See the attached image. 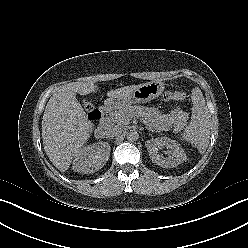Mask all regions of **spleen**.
I'll return each mask as SVG.
<instances>
[{"instance_id": "3e777b00", "label": "spleen", "mask_w": 248, "mask_h": 248, "mask_svg": "<svg viewBox=\"0 0 248 248\" xmlns=\"http://www.w3.org/2000/svg\"><path fill=\"white\" fill-rule=\"evenodd\" d=\"M192 117L184 129L181 139L194 144L198 151L203 154L209 143L211 115L205 104L201 90L195 87L192 90Z\"/></svg>"}]
</instances>
